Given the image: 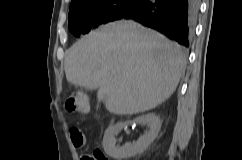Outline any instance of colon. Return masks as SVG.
Here are the masks:
<instances>
[{"label":"colon","mask_w":242,"mask_h":160,"mask_svg":"<svg viewBox=\"0 0 242 160\" xmlns=\"http://www.w3.org/2000/svg\"><path fill=\"white\" fill-rule=\"evenodd\" d=\"M65 108L69 113L87 114L89 112L87 99L81 92H74L70 94L65 101ZM71 134L75 141L82 138L80 129L76 127L71 129ZM85 160H108V158L101 151L95 150L92 154L87 155Z\"/></svg>","instance_id":"colon-1"}]
</instances>
